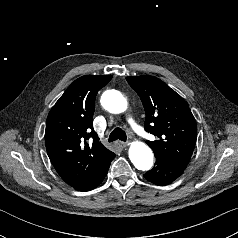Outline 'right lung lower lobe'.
I'll use <instances>...</instances> for the list:
<instances>
[{
	"instance_id": "1",
	"label": "right lung lower lobe",
	"mask_w": 238,
	"mask_h": 238,
	"mask_svg": "<svg viewBox=\"0 0 238 238\" xmlns=\"http://www.w3.org/2000/svg\"><path fill=\"white\" fill-rule=\"evenodd\" d=\"M115 155L108 160L105 164H103L100 168H98L90 177H88L86 180L82 181L81 183L76 184L75 186H72L74 189L78 191H90L94 188H96L104 179L106 176L111 161L114 159Z\"/></svg>"
}]
</instances>
